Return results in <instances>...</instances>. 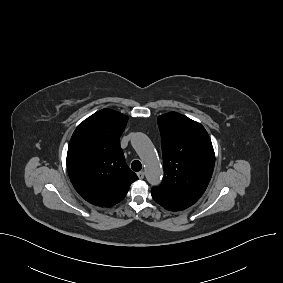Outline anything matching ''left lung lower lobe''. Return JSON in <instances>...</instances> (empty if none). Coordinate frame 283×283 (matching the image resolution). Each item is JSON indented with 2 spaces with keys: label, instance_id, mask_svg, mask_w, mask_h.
Masks as SVG:
<instances>
[{
  "label": "left lung lower lobe",
  "instance_id": "left-lung-lower-lobe-1",
  "mask_svg": "<svg viewBox=\"0 0 283 283\" xmlns=\"http://www.w3.org/2000/svg\"><path fill=\"white\" fill-rule=\"evenodd\" d=\"M151 194H152L153 199H154L158 204H160L162 207H164L165 209L170 210V211H175V210H173L172 208L168 207L166 204H164L162 201H160L153 193H151Z\"/></svg>",
  "mask_w": 283,
  "mask_h": 283
}]
</instances>
